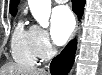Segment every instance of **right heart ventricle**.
Here are the masks:
<instances>
[{
	"mask_svg": "<svg viewBox=\"0 0 102 75\" xmlns=\"http://www.w3.org/2000/svg\"><path fill=\"white\" fill-rule=\"evenodd\" d=\"M11 53L15 61L34 65L37 56L34 50L33 33L31 29H27L23 22H19L13 33L11 42Z\"/></svg>",
	"mask_w": 102,
	"mask_h": 75,
	"instance_id": "e07e8e85",
	"label": "right heart ventricle"
}]
</instances>
